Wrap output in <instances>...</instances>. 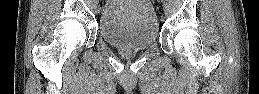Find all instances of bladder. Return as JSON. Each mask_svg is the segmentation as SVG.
Returning <instances> with one entry per match:
<instances>
[{
  "mask_svg": "<svg viewBox=\"0 0 259 94\" xmlns=\"http://www.w3.org/2000/svg\"><path fill=\"white\" fill-rule=\"evenodd\" d=\"M158 19L147 0L108 1L99 18V34L122 49H147L157 40Z\"/></svg>",
  "mask_w": 259,
  "mask_h": 94,
  "instance_id": "31cf9c89",
  "label": "bladder"
}]
</instances>
